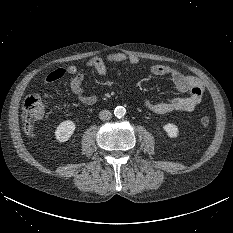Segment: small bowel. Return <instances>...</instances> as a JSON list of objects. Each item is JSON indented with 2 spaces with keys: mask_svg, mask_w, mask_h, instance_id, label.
<instances>
[{
  "mask_svg": "<svg viewBox=\"0 0 233 233\" xmlns=\"http://www.w3.org/2000/svg\"><path fill=\"white\" fill-rule=\"evenodd\" d=\"M138 65L140 60L135 55H126L123 53H110L104 58L93 57L87 63V68L95 70L99 75L105 76L108 73L109 65H119L122 63ZM85 70L76 66H68L64 69H55L45 78V84H51L60 79L64 74L72 76L70 89L77 100L86 106L94 105L98 101L97 95L85 93L83 87ZM150 72L159 77H169L174 87L183 93L185 97H176L164 102H154L149 98L143 99V106L155 114H165L171 112L186 113L194 111L202 100L204 93V83L197 77L183 74L177 69L168 65H152Z\"/></svg>",
  "mask_w": 233,
  "mask_h": 233,
  "instance_id": "1",
  "label": "small bowel"
}]
</instances>
